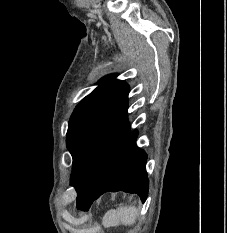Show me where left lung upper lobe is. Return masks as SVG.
Masks as SVG:
<instances>
[{
    "instance_id": "obj_1",
    "label": "left lung upper lobe",
    "mask_w": 227,
    "mask_h": 233,
    "mask_svg": "<svg viewBox=\"0 0 227 233\" xmlns=\"http://www.w3.org/2000/svg\"><path fill=\"white\" fill-rule=\"evenodd\" d=\"M110 74L75 108L69 121L67 148L73 157L72 185L77 201L96 190L117 147L130 132L129 86Z\"/></svg>"
}]
</instances>
